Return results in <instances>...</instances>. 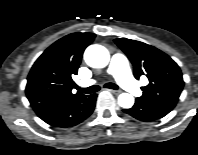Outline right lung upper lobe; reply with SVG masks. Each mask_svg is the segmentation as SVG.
<instances>
[{
  "label": "right lung upper lobe",
  "mask_w": 198,
  "mask_h": 155,
  "mask_svg": "<svg viewBox=\"0 0 198 155\" xmlns=\"http://www.w3.org/2000/svg\"><path fill=\"white\" fill-rule=\"evenodd\" d=\"M94 38L93 33L69 34L36 60L26 86L27 98L35 112L82 94L72 93V76L77 74L83 52Z\"/></svg>",
  "instance_id": "cb5924a9"
}]
</instances>
